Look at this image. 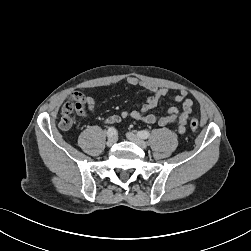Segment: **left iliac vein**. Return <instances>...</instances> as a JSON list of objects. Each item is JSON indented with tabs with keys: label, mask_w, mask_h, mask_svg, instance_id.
Masks as SVG:
<instances>
[{
	"label": "left iliac vein",
	"mask_w": 251,
	"mask_h": 251,
	"mask_svg": "<svg viewBox=\"0 0 251 251\" xmlns=\"http://www.w3.org/2000/svg\"><path fill=\"white\" fill-rule=\"evenodd\" d=\"M126 137L128 140L137 144L139 147H141L143 149L147 148V143L142 138H140L138 135H136L134 132H128L126 134Z\"/></svg>",
	"instance_id": "4c4485c4"
}]
</instances>
